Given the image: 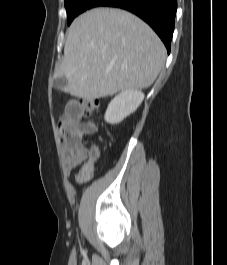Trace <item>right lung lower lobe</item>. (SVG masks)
<instances>
[{"mask_svg": "<svg viewBox=\"0 0 227 265\" xmlns=\"http://www.w3.org/2000/svg\"><path fill=\"white\" fill-rule=\"evenodd\" d=\"M99 6L118 7L136 14L152 27L170 53L177 0H94L90 8Z\"/></svg>", "mask_w": 227, "mask_h": 265, "instance_id": "1", "label": "right lung lower lobe"}]
</instances>
